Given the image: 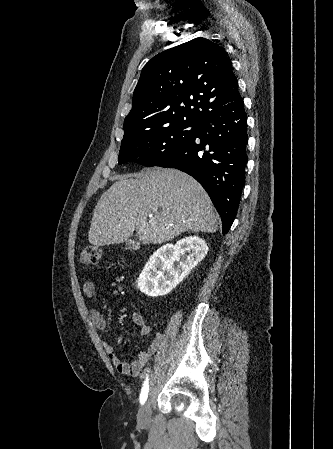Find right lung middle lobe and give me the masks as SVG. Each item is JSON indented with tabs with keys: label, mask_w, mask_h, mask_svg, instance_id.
Masks as SVG:
<instances>
[{
	"label": "right lung middle lobe",
	"mask_w": 333,
	"mask_h": 449,
	"mask_svg": "<svg viewBox=\"0 0 333 449\" xmlns=\"http://www.w3.org/2000/svg\"><path fill=\"white\" fill-rule=\"evenodd\" d=\"M198 126L199 123L186 120L171 121L123 140L118 164L134 162L147 167L156 166L189 140Z\"/></svg>",
	"instance_id": "dd1d6c3e"
}]
</instances>
